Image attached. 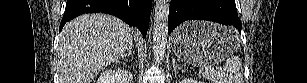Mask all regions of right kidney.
<instances>
[{
  "label": "right kidney",
  "mask_w": 307,
  "mask_h": 83,
  "mask_svg": "<svg viewBox=\"0 0 307 83\" xmlns=\"http://www.w3.org/2000/svg\"><path fill=\"white\" fill-rule=\"evenodd\" d=\"M133 74L128 70H106L101 73L97 83H132Z\"/></svg>",
  "instance_id": "right-kidney-1"
}]
</instances>
